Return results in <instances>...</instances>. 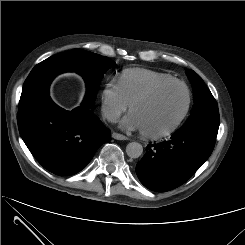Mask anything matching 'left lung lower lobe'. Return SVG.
<instances>
[{
	"label": "left lung lower lobe",
	"instance_id": "0a47b994",
	"mask_svg": "<svg viewBox=\"0 0 245 245\" xmlns=\"http://www.w3.org/2000/svg\"><path fill=\"white\" fill-rule=\"evenodd\" d=\"M217 135L201 130L175 132L169 141L149 144L136 165L140 182L165 192L186 182L211 155Z\"/></svg>",
	"mask_w": 245,
	"mask_h": 245
}]
</instances>
